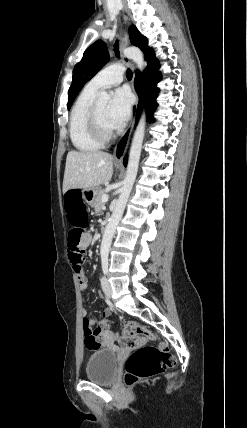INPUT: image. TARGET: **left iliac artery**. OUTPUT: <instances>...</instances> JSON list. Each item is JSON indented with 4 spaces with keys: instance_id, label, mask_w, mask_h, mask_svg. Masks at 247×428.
<instances>
[{
    "instance_id": "left-iliac-artery-1",
    "label": "left iliac artery",
    "mask_w": 247,
    "mask_h": 428,
    "mask_svg": "<svg viewBox=\"0 0 247 428\" xmlns=\"http://www.w3.org/2000/svg\"><path fill=\"white\" fill-rule=\"evenodd\" d=\"M102 270L104 274H107L108 272V257L107 256H102Z\"/></svg>"
}]
</instances>
